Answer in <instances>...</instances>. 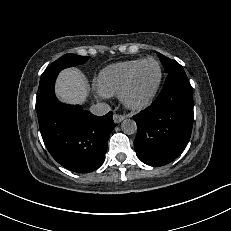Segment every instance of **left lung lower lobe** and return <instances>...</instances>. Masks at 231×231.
I'll use <instances>...</instances> for the list:
<instances>
[{
    "instance_id": "1",
    "label": "left lung lower lobe",
    "mask_w": 231,
    "mask_h": 231,
    "mask_svg": "<svg viewBox=\"0 0 231 231\" xmlns=\"http://www.w3.org/2000/svg\"><path fill=\"white\" fill-rule=\"evenodd\" d=\"M134 120V147L145 164L163 166L183 152L193 125V89L183 68L168 73L157 99Z\"/></svg>"
}]
</instances>
